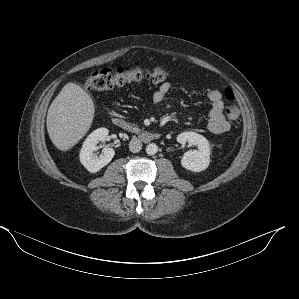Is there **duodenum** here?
<instances>
[{
    "instance_id": "410a0bca",
    "label": "duodenum",
    "mask_w": 299,
    "mask_h": 299,
    "mask_svg": "<svg viewBox=\"0 0 299 299\" xmlns=\"http://www.w3.org/2000/svg\"><path fill=\"white\" fill-rule=\"evenodd\" d=\"M112 123L121 129H125L133 134H135L138 138L144 140V141H153V140H158L160 138V135L158 133H152L149 131L141 130L134 126L133 124L129 123L128 121L115 117L112 120Z\"/></svg>"
}]
</instances>
